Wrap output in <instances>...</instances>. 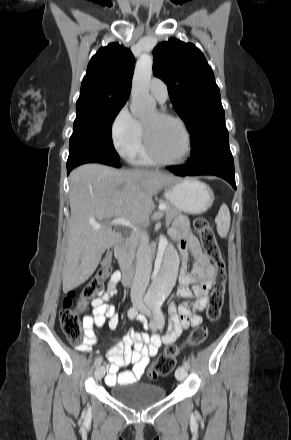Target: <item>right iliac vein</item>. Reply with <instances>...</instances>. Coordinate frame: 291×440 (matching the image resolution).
Instances as JSON below:
<instances>
[{
	"mask_svg": "<svg viewBox=\"0 0 291 440\" xmlns=\"http://www.w3.org/2000/svg\"><path fill=\"white\" fill-rule=\"evenodd\" d=\"M105 374V367L98 366L95 370V378L96 380H101Z\"/></svg>",
	"mask_w": 291,
	"mask_h": 440,
	"instance_id": "1",
	"label": "right iliac vein"
}]
</instances>
